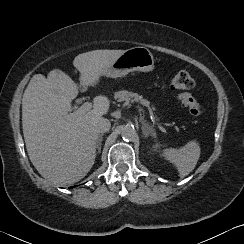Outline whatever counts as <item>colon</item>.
<instances>
[{
	"mask_svg": "<svg viewBox=\"0 0 244 244\" xmlns=\"http://www.w3.org/2000/svg\"><path fill=\"white\" fill-rule=\"evenodd\" d=\"M194 86L195 81L187 71L178 72L173 77L170 85L182 107L194 117L200 118L204 112L203 105L189 92Z\"/></svg>",
	"mask_w": 244,
	"mask_h": 244,
	"instance_id": "5ec220e1",
	"label": "colon"
}]
</instances>
